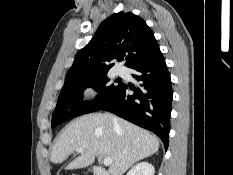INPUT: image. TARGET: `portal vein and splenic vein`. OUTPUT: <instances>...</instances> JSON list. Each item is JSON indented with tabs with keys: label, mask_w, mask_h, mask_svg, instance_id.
<instances>
[{
	"label": "portal vein and splenic vein",
	"mask_w": 233,
	"mask_h": 175,
	"mask_svg": "<svg viewBox=\"0 0 233 175\" xmlns=\"http://www.w3.org/2000/svg\"><path fill=\"white\" fill-rule=\"evenodd\" d=\"M83 150H84V147H80L78 151H79V152H83ZM112 163H113V160H112L111 158H109V157H106V158H104V160H103V164H104L105 166H110Z\"/></svg>",
	"instance_id": "18ae733b"
}]
</instances>
